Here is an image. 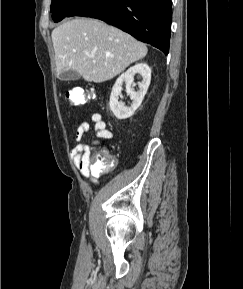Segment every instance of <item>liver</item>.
<instances>
[{
    "instance_id": "6515ba94",
    "label": "liver",
    "mask_w": 243,
    "mask_h": 289,
    "mask_svg": "<svg viewBox=\"0 0 243 289\" xmlns=\"http://www.w3.org/2000/svg\"><path fill=\"white\" fill-rule=\"evenodd\" d=\"M51 37L57 75L74 70L88 82L112 79L148 51L128 33L91 18L69 20L56 27Z\"/></svg>"
}]
</instances>
